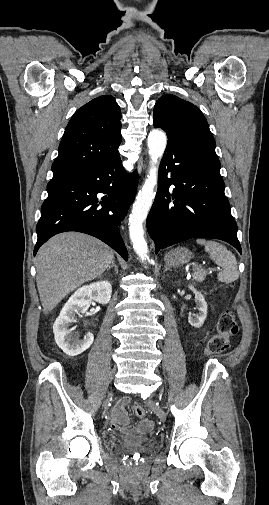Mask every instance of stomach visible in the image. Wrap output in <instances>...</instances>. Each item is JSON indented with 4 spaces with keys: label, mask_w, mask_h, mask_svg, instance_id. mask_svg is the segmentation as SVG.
Wrapping results in <instances>:
<instances>
[{
    "label": "stomach",
    "mask_w": 269,
    "mask_h": 505,
    "mask_svg": "<svg viewBox=\"0 0 269 505\" xmlns=\"http://www.w3.org/2000/svg\"><path fill=\"white\" fill-rule=\"evenodd\" d=\"M191 252L185 247H178L166 253L164 261L168 266H176L189 262Z\"/></svg>",
    "instance_id": "stomach-1"
}]
</instances>
